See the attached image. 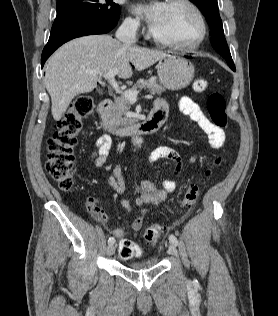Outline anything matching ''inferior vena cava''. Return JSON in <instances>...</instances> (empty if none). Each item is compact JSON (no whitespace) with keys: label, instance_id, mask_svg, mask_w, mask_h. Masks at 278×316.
I'll return each mask as SVG.
<instances>
[{"label":"inferior vena cava","instance_id":"1","mask_svg":"<svg viewBox=\"0 0 278 316\" xmlns=\"http://www.w3.org/2000/svg\"><path fill=\"white\" fill-rule=\"evenodd\" d=\"M137 24L135 22H124L116 31V38L124 45H133L136 42Z\"/></svg>","mask_w":278,"mask_h":316}]
</instances>
